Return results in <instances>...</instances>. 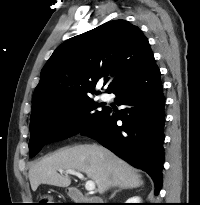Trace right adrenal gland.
Here are the masks:
<instances>
[{"label": "right adrenal gland", "instance_id": "right-adrenal-gland-1", "mask_svg": "<svg viewBox=\"0 0 200 205\" xmlns=\"http://www.w3.org/2000/svg\"><path fill=\"white\" fill-rule=\"evenodd\" d=\"M124 189H127V188H125V187H119L117 190H115V191L113 192V194L110 196V199H112V198L116 195L117 192H120V191H122V190H124Z\"/></svg>", "mask_w": 200, "mask_h": 205}]
</instances>
